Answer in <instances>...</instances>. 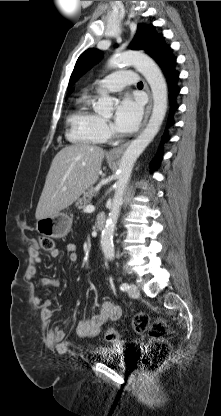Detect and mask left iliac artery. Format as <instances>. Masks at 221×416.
Segmentation results:
<instances>
[{"label":"left iliac artery","mask_w":221,"mask_h":416,"mask_svg":"<svg viewBox=\"0 0 221 416\" xmlns=\"http://www.w3.org/2000/svg\"><path fill=\"white\" fill-rule=\"evenodd\" d=\"M120 289H121L122 291H127V290H129V285H128L127 283H122V284L120 285Z\"/></svg>","instance_id":"44dca946"}]
</instances>
